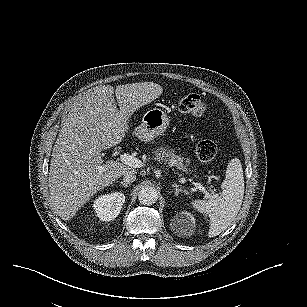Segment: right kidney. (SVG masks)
<instances>
[{
  "mask_svg": "<svg viewBox=\"0 0 307 307\" xmlns=\"http://www.w3.org/2000/svg\"><path fill=\"white\" fill-rule=\"evenodd\" d=\"M124 203L125 195L114 192L97 197L93 202V209L101 221H111L118 216Z\"/></svg>",
  "mask_w": 307,
  "mask_h": 307,
  "instance_id": "obj_1",
  "label": "right kidney"
}]
</instances>
